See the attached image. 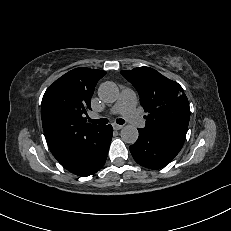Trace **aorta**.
<instances>
[{
  "label": "aorta",
  "mask_w": 231,
  "mask_h": 231,
  "mask_svg": "<svg viewBox=\"0 0 231 231\" xmlns=\"http://www.w3.org/2000/svg\"><path fill=\"white\" fill-rule=\"evenodd\" d=\"M118 93L116 84L110 81L102 83L98 88L99 98L107 103L115 102ZM120 136L125 143L134 144L138 139L139 133L135 126L126 125L121 129Z\"/></svg>",
  "instance_id": "aorta-1"
}]
</instances>
